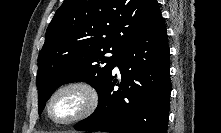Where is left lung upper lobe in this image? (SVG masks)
Wrapping results in <instances>:
<instances>
[{
    "instance_id": "5c2ea615",
    "label": "left lung upper lobe",
    "mask_w": 221,
    "mask_h": 133,
    "mask_svg": "<svg viewBox=\"0 0 221 133\" xmlns=\"http://www.w3.org/2000/svg\"><path fill=\"white\" fill-rule=\"evenodd\" d=\"M160 17L156 0H65L38 57L39 113L64 83L85 81L99 93L122 48Z\"/></svg>"
}]
</instances>
